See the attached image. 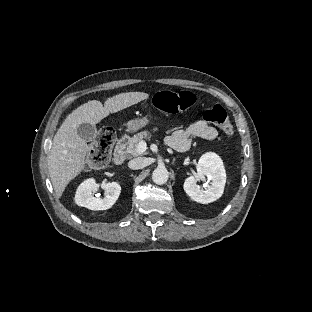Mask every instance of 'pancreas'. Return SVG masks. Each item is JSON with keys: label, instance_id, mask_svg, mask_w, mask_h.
<instances>
[{"label": "pancreas", "instance_id": "pancreas-1", "mask_svg": "<svg viewBox=\"0 0 312 312\" xmlns=\"http://www.w3.org/2000/svg\"><path fill=\"white\" fill-rule=\"evenodd\" d=\"M152 137V133L148 130L140 132L136 135H134L130 141L128 142V146L125 148L126 153L135 155V149L137 145L141 142L144 141V139H149Z\"/></svg>", "mask_w": 312, "mask_h": 312}]
</instances>
